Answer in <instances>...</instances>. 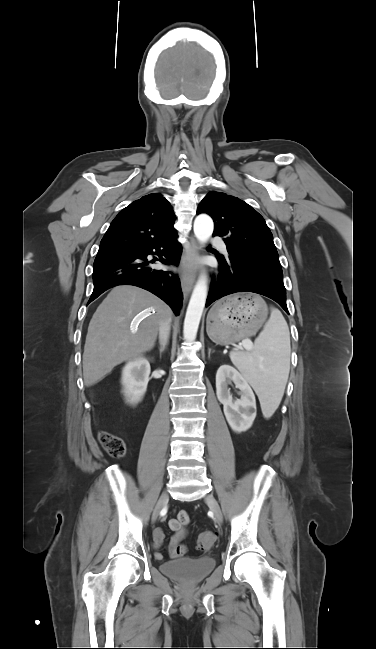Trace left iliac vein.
<instances>
[{
    "label": "left iliac vein",
    "mask_w": 376,
    "mask_h": 649,
    "mask_svg": "<svg viewBox=\"0 0 376 649\" xmlns=\"http://www.w3.org/2000/svg\"><path fill=\"white\" fill-rule=\"evenodd\" d=\"M205 501L207 505L209 506L210 510L212 511L215 519L217 520L218 523H222L223 521V515L220 509V506L216 499L212 495H207L205 497Z\"/></svg>",
    "instance_id": "4c4485c4"
}]
</instances>
